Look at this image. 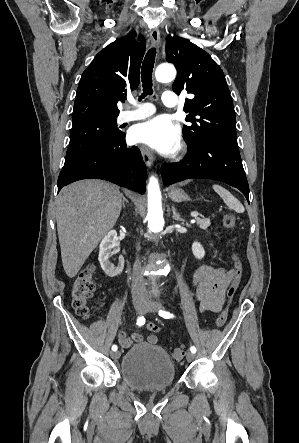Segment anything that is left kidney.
Instances as JSON below:
<instances>
[{"label":"left kidney","mask_w":299,"mask_h":443,"mask_svg":"<svg viewBox=\"0 0 299 443\" xmlns=\"http://www.w3.org/2000/svg\"><path fill=\"white\" fill-rule=\"evenodd\" d=\"M192 252H193V255L195 256V258H197V259H202L205 255L204 248L202 247V245L199 242H194L192 244Z\"/></svg>","instance_id":"5707ae66"}]
</instances>
